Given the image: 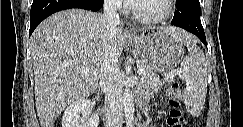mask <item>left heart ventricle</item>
I'll use <instances>...</instances> for the list:
<instances>
[{"label": "left heart ventricle", "mask_w": 243, "mask_h": 127, "mask_svg": "<svg viewBox=\"0 0 243 127\" xmlns=\"http://www.w3.org/2000/svg\"><path fill=\"white\" fill-rule=\"evenodd\" d=\"M135 5L137 12L142 16H158L166 9L164 0H140Z\"/></svg>", "instance_id": "b2bd125f"}]
</instances>
